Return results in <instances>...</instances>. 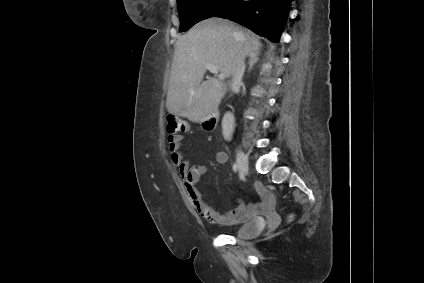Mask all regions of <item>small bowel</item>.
Returning a JSON list of instances; mask_svg holds the SVG:
<instances>
[{
    "instance_id": "obj_1",
    "label": "small bowel",
    "mask_w": 424,
    "mask_h": 283,
    "mask_svg": "<svg viewBox=\"0 0 424 283\" xmlns=\"http://www.w3.org/2000/svg\"><path fill=\"white\" fill-rule=\"evenodd\" d=\"M184 136L181 134H171L168 136V148L172 154V161L178 167L179 174L183 180L185 190L192 206L198 214L212 225H235L239 224L257 210L267 209L273 205L274 198L272 194L261 184L256 183L255 187L261 197L259 204H245L238 200L236 208L226 212L219 213L215 211L203 198L197 189V183L204 177L207 172L206 166L192 165L181 151ZM228 154L220 151L216 154L218 164H226L228 162Z\"/></svg>"
}]
</instances>
